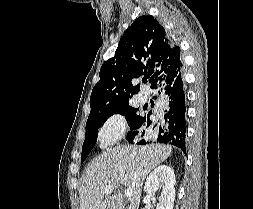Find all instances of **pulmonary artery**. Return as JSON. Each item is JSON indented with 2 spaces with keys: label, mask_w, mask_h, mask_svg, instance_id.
<instances>
[{
  "label": "pulmonary artery",
  "mask_w": 253,
  "mask_h": 209,
  "mask_svg": "<svg viewBox=\"0 0 253 209\" xmlns=\"http://www.w3.org/2000/svg\"><path fill=\"white\" fill-rule=\"evenodd\" d=\"M137 99L140 103H145L147 100H148V95L143 93V92H140L138 95H137Z\"/></svg>",
  "instance_id": "e3ab8cb5"
}]
</instances>
